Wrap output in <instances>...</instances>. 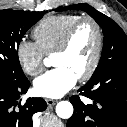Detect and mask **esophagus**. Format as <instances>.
Wrapping results in <instances>:
<instances>
[{
	"label": "esophagus",
	"mask_w": 127,
	"mask_h": 127,
	"mask_svg": "<svg viewBox=\"0 0 127 127\" xmlns=\"http://www.w3.org/2000/svg\"><path fill=\"white\" fill-rule=\"evenodd\" d=\"M47 105L48 106H53L57 103V100H53V99H46Z\"/></svg>",
	"instance_id": "34e87169"
}]
</instances>
